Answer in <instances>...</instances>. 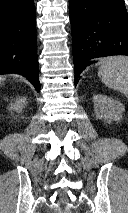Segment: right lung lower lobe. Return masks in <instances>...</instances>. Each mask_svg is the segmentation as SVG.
Returning <instances> with one entry per match:
<instances>
[{
  "mask_svg": "<svg viewBox=\"0 0 128 213\" xmlns=\"http://www.w3.org/2000/svg\"><path fill=\"white\" fill-rule=\"evenodd\" d=\"M33 0H0V74L25 76L40 91Z\"/></svg>",
  "mask_w": 128,
  "mask_h": 213,
  "instance_id": "98d812e1",
  "label": "right lung lower lobe"
}]
</instances>
